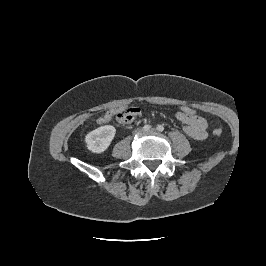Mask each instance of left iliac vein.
Returning a JSON list of instances; mask_svg holds the SVG:
<instances>
[{"label":"left iliac vein","mask_w":266,"mask_h":266,"mask_svg":"<svg viewBox=\"0 0 266 266\" xmlns=\"http://www.w3.org/2000/svg\"><path fill=\"white\" fill-rule=\"evenodd\" d=\"M148 133H155L156 130L155 129H151L150 131H147Z\"/></svg>","instance_id":"4c4485c4"}]
</instances>
